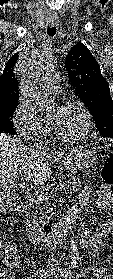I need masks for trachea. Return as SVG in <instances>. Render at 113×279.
I'll return each mask as SVG.
<instances>
[{
    "label": "trachea",
    "mask_w": 113,
    "mask_h": 279,
    "mask_svg": "<svg viewBox=\"0 0 113 279\" xmlns=\"http://www.w3.org/2000/svg\"><path fill=\"white\" fill-rule=\"evenodd\" d=\"M47 34L50 36V37H52V36H54L55 34H56V27H48V29H47Z\"/></svg>",
    "instance_id": "3493384b"
}]
</instances>
